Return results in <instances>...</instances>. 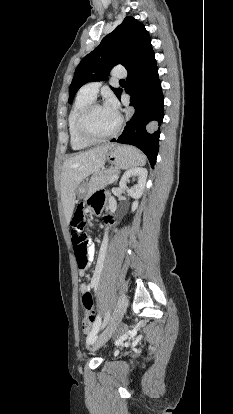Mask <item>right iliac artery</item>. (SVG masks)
I'll list each match as a JSON object with an SVG mask.
<instances>
[{"mask_svg":"<svg viewBox=\"0 0 233 414\" xmlns=\"http://www.w3.org/2000/svg\"><path fill=\"white\" fill-rule=\"evenodd\" d=\"M101 251H105V247H102Z\"/></svg>","mask_w":233,"mask_h":414,"instance_id":"obj_1","label":"right iliac artery"}]
</instances>
